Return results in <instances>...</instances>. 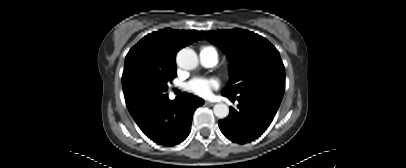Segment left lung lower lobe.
Returning <instances> with one entry per match:
<instances>
[{"label": "left lung lower lobe", "mask_w": 406, "mask_h": 168, "mask_svg": "<svg viewBox=\"0 0 406 168\" xmlns=\"http://www.w3.org/2000/svg\"><path fill=\"white\" fill-rule=\"evenodd\" d=\"M231 100L235 96L225 95ZM238 108L230 107L227 118L219 121L221 132L231 141L247 143L258 138L271 124L282 97L274 94L252 93L236 96Z\"/></svg>", "instance_id": "1"}]
</instances>
